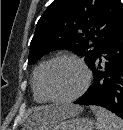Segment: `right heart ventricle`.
Masks as SVG:
<instances>
[{
    "mask_svg": "<svg viewBox=\"0 0 123 130\" xmlns=\"http://www.w3.org/2000/svg\"><path fill=\"white\" fill-rule=\"evenodd\" d=\"M47 60L40 62L33 70L31 77V86L33 91L34 100L38 103H45L48 100L44 97L40 87V77L42 70L47 63Z\"/></svg>",
    "mask_w": 123,
    "mask_h": 130,
    "instance_id": "obj_1",
    "label": "right heart ventricle"
}]
</instances>
